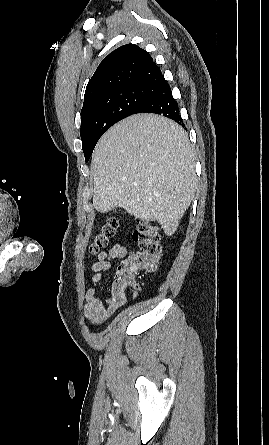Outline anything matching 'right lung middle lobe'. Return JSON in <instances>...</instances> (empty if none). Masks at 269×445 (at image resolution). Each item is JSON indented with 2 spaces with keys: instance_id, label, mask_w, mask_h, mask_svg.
Returning <instances> with one entry per match:
<instances>
[{
  "instance_id": "right-lung-middle-lobe-1",
  "label": "right lung middle lobe",
  "mask_w": 269,
  "mask_h": 445,
  "mask_svg": "<svg viewBox=\"0 0 269 445\" xmlns=\"http://www.w3.org/2000/svg\"><path fill=\"white\" fill-rule=\"evenodd\" d=\"M154 86H130L111 90L97 97L81 110L82 149L88 161L103 133L123 118L135 114L156 95Z\"/></svg>"
}]
</instances>
